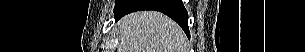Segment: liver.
I'll use <instances>...</instances> for the list:
<instances>
[{
  "mask_svg": "<svg viewBox=\"0 0 305 52\" xmlns=\"http://www.w3.org/2000/svg\"><path fill=\"white\" fill-rule=\"evenodd\" d=\"M118 52H186L182 29L157 11H140L118 23Z\"/></svg>",
  "mask_w": 305,
  "mask_h": 52,
  "instance_id": "6515ba94",
  "label": "liver"
}]
</instances>
